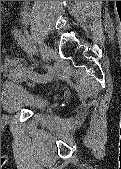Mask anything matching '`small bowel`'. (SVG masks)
<instances>
[{"label":"small bowel","instance_id":"c3829d8e","mask_svg":"<svg viewBox=\"0 0 121 169\" xmlns=\"http://www.w3.org/2000/svg\"><path fill=\"white\" fill-rule=\"evenodd\" d=\"M33 74L34 73L32 72V69L30 67H27L20 59L4 57L2 60L1 63L2 76H6L12 79H26L31 78Z\"/></svg>","mask_w":121,"mask_h":169}]
</instances>
